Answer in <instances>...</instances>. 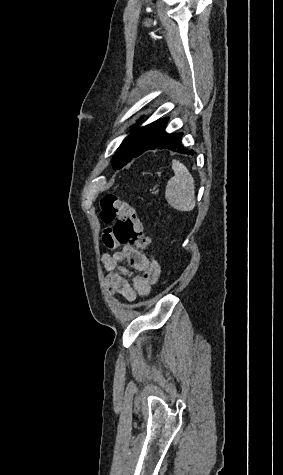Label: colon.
<instances>
[{
	"instance_id": "1",
	"label": "colon",
	"mask_w": 283,
	"mask_h": 475,
	"mask_svg": "<svg viewBox=\"0 0 283 475\" xmlns=\"http://www.w3.org/2000/svg\"><path fill=\"white\" fill-rule=\"evenodd\" d=\"M100 217L105 223L120 224V233H115L114 239H119L121 244H139L146 249L150 247V238L143 231L136 209L115 194L102 197Z\"/></svg>"
}]
</instances>
